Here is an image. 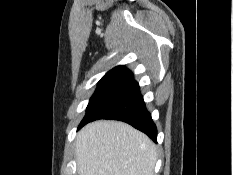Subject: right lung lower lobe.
I'll use <instances>...</instances> for the list:
<instances>
[{
	"label": "right lung lower lobe",
	"mask_w": 233,
	"mask_h": 175,
	"mask_svg": "<svg viewBox=\"0 0 233 175\" xmlns=\"http://www.w3.org/2000/svg\"><path fill=\"white\" fill-rule=\"evenodd\" d=\"M98 119L124 121L144 132L153 141L156 142L157 140L156 126L151 118V114L145 107L139 85L136 81L95 116L82 122L79 128L88 122Z\"/></svg>",
	"instance_id": "right-lung-lower-lobe-1"
}]
</instances>
